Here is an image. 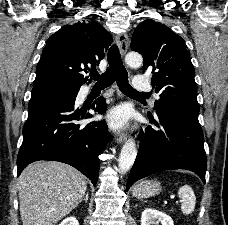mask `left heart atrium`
Wrapping results in <instances>:
<instances>
[{
    "instance_id": "1",
    "label": "left heart atrium",
    "mask_w": 228,
    "mask_h": 225,
    "mask_svg": "<svg viewBox=\"0 0 228 225\" xmlns=\"http://www.w3.org/2000/svg\"><path fill=\"white\" fill-rule=\"evenodd\" d=\"M107 118L113 126L122 127L127 124L129 114L125 107H116L109 112Z\"/></svg>"
}]
</instances>
